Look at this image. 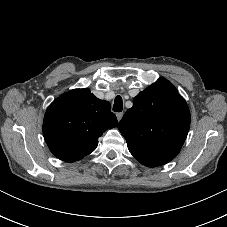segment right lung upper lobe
<instances>
[{
	"label": "right lung upper lobe",
	"instance_id": "cb5924a9",
	"mask_svg": "<svg viewBox=\"0 0 227 227\" xmlns=\"http://www.w3.org/2000/svg\"><path fill=\"white\" fill-rule=\"evenodd\" d=\"M116 125L117 118L109 102L98 99L87 88L74 89L49 105L43 135L58 159L75 162L92 153L98 138Z\"/></svg>",
	"mask_w": 227,
	"mask_h": 227
}]
</instances>
